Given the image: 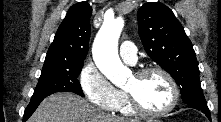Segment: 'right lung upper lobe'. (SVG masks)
<instances>
[{"label": "right lung upper lobe", "mask_w": 221, "mask_h": 122, "mask_svg": "<svg viewBox=\"0 0 221 122\" xmlns=\"http://www.w3.org/2000/svg\"><path fill=\"white\" fill-rule=\"evenodd\" d=\"M92 8L87 2L73 5L50 45L45 62L84 61L90 38Z\"/></svg>", "instance_id": "1"}]
</instances>
